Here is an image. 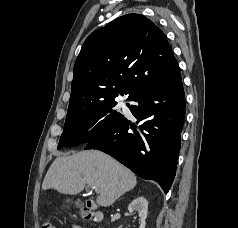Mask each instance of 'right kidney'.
Segmentation results:
<instances>
[{
  "instance_id": "1",
  "label": "right kidney",
  "mask_w": 238,
  "mask_h": 228,
  "mask_svg": "<svg viewBox=\"0 0 238 228\" xmlns=\"http://www.w3.org/2000/svg\"><path fill=\"white\" fill-rule=\"evenodd\" d=\"M130 213L137 212L140 220L139 228H145L148 213V201L144 197L134 199L128 206Z\"/></svg>"
}]
</instances>
